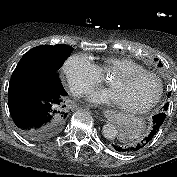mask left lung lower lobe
<instances>
[{
    "label": "left lung lower lobe",
    "mask_w": 177,
    "mask_h": 177,
    "mask_svg": "<svg viewBox=\"0 0 177 177\" xmlns=\"http://www.w3.org/2000/svg\"><path fill=\"white\" fill-rule=\"evenodd\" d=\"M165 117H166V115L164 112L156 114L152 117L153 118L152 130H151L150 134L147 137H145L140 143H138L136 145H131V144L130 145H123V144L115 142L112 144V147L116 151L123 152V153L135 152V151L140 150L141 148L146 146L148 143H150V141L153 139V137L157 134Z\"/></svg>",
    "instance_id": "1"
}]
</instances>
